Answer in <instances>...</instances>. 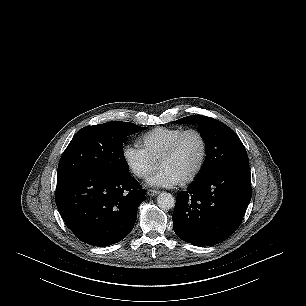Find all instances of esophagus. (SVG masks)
Segmentation results:
<instances>
[{"mask_svg":"<svg viewBox=\"0 0 306 306\" xmlns=\"http://www.w3.org/2000/svg\"><path fill=\"white\" fill-rule=\"evenodd\" d=\"M160 193V191H157V190H151V189H149L148 191H147V194L149 195V196H156V195H158Z\"/></svg>","mask_w":306,"mask_h":306,"instance_id":"esophagus-1","label":"esophagus"}]
</instances>
